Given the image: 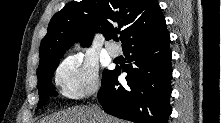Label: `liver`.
Masks as SVG:
<instances>
[{"instance_id": "1", "label": "liver", "mask_w": 221, "mask_h": 123, "mask_svg": "<svg viewBox=\"0 0 221 123\" xmlns=\"http://www.w3.org/2000/svg\"><path fill=\"white\" fill-rule=\"evenodd\" d=\"M43 123H120L119 120L105 114L100 110L99 118L96 120L93 108L89 106L69 108L55 113Z\"/></svg>"}]
</instances>
